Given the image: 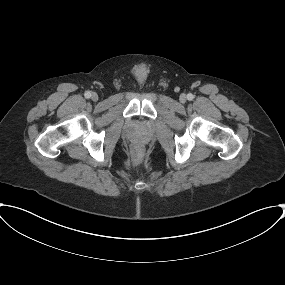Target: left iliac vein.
I'll return each mask as SVG.
<instances>
[{
    "instance_id": "left-iliac-vein-1",
    "label": "left iliac vein",
    "mask_w": 285,
    "mask_h": 285,
    "mask_svg": "<svg viewBox=\"0 0 285 285\" xmlns=\"http://www.w3.org/2000/svg\"><path fill=\"white\" fill-rule=\"evenodd\" d=\"M186 99H187V97H186L185 94H181V95H180V98H179L180 102L185 103V102H186Z\"/></svg>"
}]
</instances>
